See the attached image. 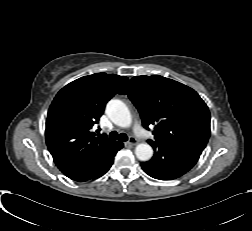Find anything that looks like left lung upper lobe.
<instances>
[{"instance_id": "1", "label": "left lung upper lobe", "mask_w": 252, "mask_h": 231, "mask_svg": "<svg viewBox=\"0 0 252 231\" xmlns=\"http://www.w3.org/2000/svg\"><path fill=\"white\" fill-rule=\"evenodd\" d=\"M138 109L143 126L155 125V141L204 149L210 136V113L190 87L159 75L136 76L119 91Z\"/></svg>"}]
</instances>
